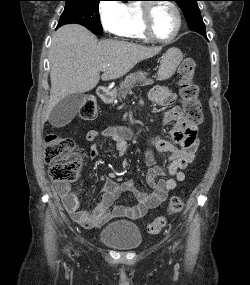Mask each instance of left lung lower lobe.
Listing matches in <instances>:
<instances>
[{
  "mask_svg": "<svg viewBox=\"0 0 250 285\" xmlns=\"http://www.w3.org/2000/svg\"><path fill=\"white\" fill-rule=\"evenodd\" d=\"M203 36L207 39L206 34H203Z\"/></svg>",
  "mask_w": 250,
  "mask_h": 285,
  "instance_id": "0a47b994",
  "label": "left lung lower lobe"
}]
</instances>
